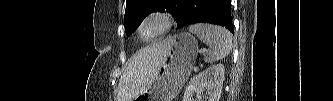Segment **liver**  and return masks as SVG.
Here are the masks:
<instances>
[{"label":"liver","instance_id":"obj_1","mask_svg":"<svg viewBox=\"0 0 333 101\" xmlns=\"http://www.w3.org/2000/svg\"><path fill=\"white\" fill-rule=\"evenodd\" d=\"M165 41L139 50L130 60L119 81L118 101H133L153 81L165 58Z\"/></svg>","mask_w":333,"mask_h":101}]
</instances>
